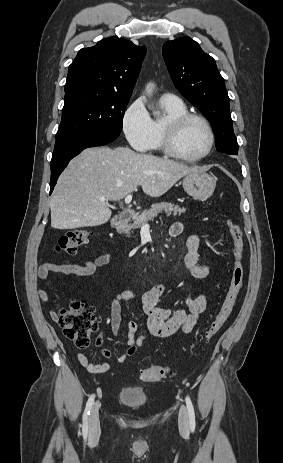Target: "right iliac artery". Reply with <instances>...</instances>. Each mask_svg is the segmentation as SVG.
Here are the masks:
<instances>
[{
	"mask_svg": "<svg viewBox=\"0 0 283 463\" xmlns=\"http://www.w3.org/2000/svg\"><path fill=\"white\" fill-rule=\"evenodd\" d=\"M94 398H95V395L92 394L87 403H86V407H85V411H84V414H83V425H82V431H83V435L84 437L87 436L88 434V416L90 415V410L92 408V405L94 403Z\"/></svg>",
	"mask_w": 283,
	"mask_h": 463,
	"instance_id": "82829eb1",
	"label": "right iliac artery"
}]
</instances>
